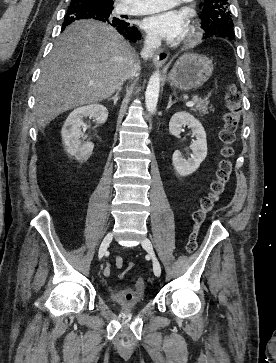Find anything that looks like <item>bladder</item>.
<instances>
[{"label":"bladder","mask_w":276,"mask_h":363,"mask_svg":"<svg viewBox=\"0 0 276 363\" xmlns=\"http://www.w3.org/2000/svg\"><path fill=\"white\" fill-rule=\"evenodd\" d=\"M109 298L124 308L140 306L144 302V289L139 285L111 289Z\"/></svg>","instance_id":"31cf9c89"}]
</instances>
